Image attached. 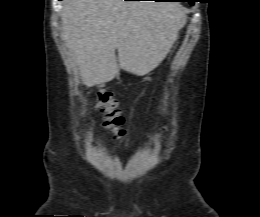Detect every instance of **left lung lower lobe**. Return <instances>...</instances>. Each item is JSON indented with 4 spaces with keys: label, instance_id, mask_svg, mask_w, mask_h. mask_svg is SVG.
<instances>
[{
    "label": "left lung lower lobe",
    "instance_id": "1",
    "mask_svg": "<svg viewBox=\"0 0 260 217\" xmlns=\"http://www.w3.org/2000/svg\"><path fill=\"white\" fill-rule=\"evenodd\" d=\"M157 1H171V0H157ZM191 4L194 3V0L189 1Z\"/></svg>",
    "mask_w": 260,
    "mask_h": 217
}]
</instances>
